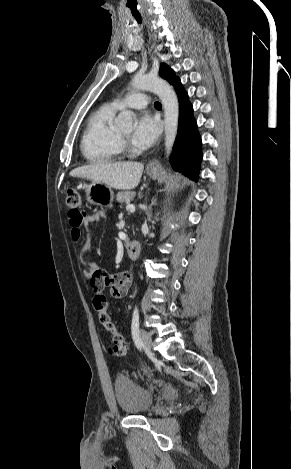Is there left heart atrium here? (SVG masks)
I'll list each match as a JSON object with an SVG mask.
<instances>
[{
    "label": "left heart atrium",
    "instance_id": "left-heart-atrium-1",
    "mask_svg": "<svg viewBox=\"0 0 291 469\" xmlns=\"http://www.w3.org/2000/svg\"><path fill=\"white\" fill-rule=\"evenodd\" d=\"M160 132L159 122L153 116L142 114L135 125L132 141L135 145L146 148L151 146L157 139Z\"/></svg>",
    "mask_w": 291,
    "mask_h": 469
}]
</instances>
